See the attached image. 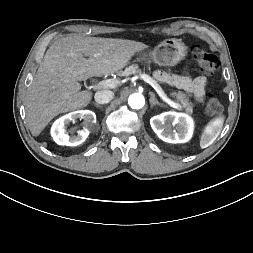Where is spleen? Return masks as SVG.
Wrapping results in <instances>:
<instances>
[{
  "mask_svg": "<svg viewBox=\"0 0 253 253\" xmlns=\"http://www.w3.org/2000/svg\"><path fill=\"white\" fill-rule=\"evenodd\" d=\"M223 123L224 117L219 116L207 124L200 137V147L202 149L207 148L215 141L222 130Z\"/></svg>",
  "mask_w": 253,
  "mask_h": 253,
  "instance_id": "3e777b00",
  "label": "spleen"
}]
</instances>
